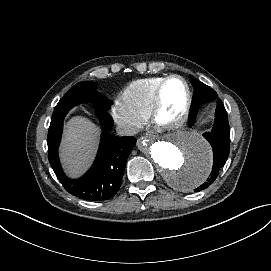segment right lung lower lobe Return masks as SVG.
Instances as JSON below:
<instances>
[{"label":"right lung lower lobe","mask_w":271,"mask_h":271,"mask_svg":"<svg viewBox=\"0 0 271 271\" xmlns=\"http://www.w3.org/2000/svg\"><path fill=\"white\" fill-rule=\"evenodd\" d=\"M73 106L54 110L48 131V159L57 178L70 194L89 201H103L115 196L120 188L127 158L135 145L134 137H114L107 132L101 135L96 160L90 170L79 179H69L63 172L58 158L63 120ZM108 109L96 111L105 127L113 125Z\"/></svg>","instance_id":"right-lung-lower-lobe-1"}]
</instances>
